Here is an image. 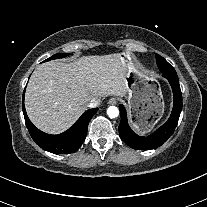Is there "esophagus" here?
Instances as JSON below:
<instances>
[{
  "label": "esophagus",
  "mask_w": 207,
  "mask_h": 207,
  "mask_svg": "<svg viewBox=\"0 0 207 207\" xmlns=\"http://www.w3.org/2000/svg\"><path fill=\"white\" fill-rule=\"evenodd\" d=\"M117 99L116 98H110L109 99V101H108V103L110 104V105H115V104H117Z\"/></svg>",
  "instance_id": "obj_1"
}]
</instances>
